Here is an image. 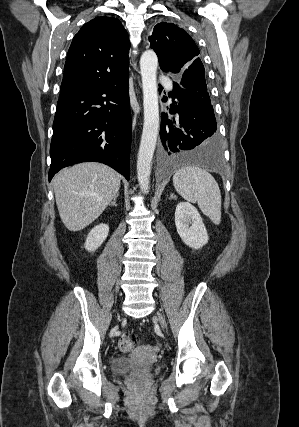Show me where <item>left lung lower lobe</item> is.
<instances>
[{
	"label": "left lung lower lobe",
	"instance_id": "left-lung-lower-lobe-1",
	"mask_svg": "<svg viewBox=\"0 0 299 427\" xmlns=\"http://www.w3.org/2000/svg\"><path fill=\"white\" fill-rule=\"evenodd\" d=\"M173 85V91L169 94L172 98L171 117L162 113L160 138L163 160L219 168L222 162L221 147L210 97L203 92L186 89L179 82ZM166 100L163 97V102Z\"/></svg>",
	"mask_w": 299,
	"mask_h": 427
}]
</instances>
